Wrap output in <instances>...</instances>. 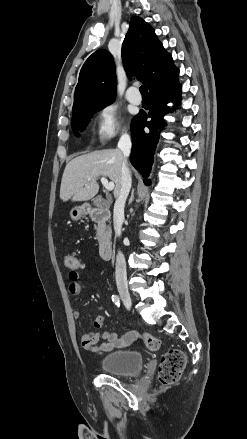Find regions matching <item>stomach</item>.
<instances>
[{
	"label": "stomach",
	"mask_w": 247,
	"mask_h": 439,
	"mask_svg": "<svg viewBox=\"0 0 247 439\" xmlns=\"http://www.w3.org/2000/svg\"><path fill=\"white\" fill-rule=\"evenodd\" d=\"M86 214V208L84 206L75 207L70 211V216L73 220H79Z\"/></svg>",
	"instance_id": "1"
}]
</instances>
